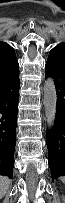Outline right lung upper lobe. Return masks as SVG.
I'll return each instance as SVG.
<instances>
[{"label": "right lung upper lobe", "instance_id": "cb5924a9", "mask_svg": "<svg viewBox=\"0 0 65 203\" xmlns=\"http://www.w3.org/2000/svg\"><path fill=\"white\" fill-rule=\"evenodd\" d=\"M19 68L14 50L4 42H0V71L8 72Z\"/></svg>", "mask_w": 65, "mask_h": 203}]
</instances>
